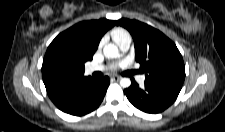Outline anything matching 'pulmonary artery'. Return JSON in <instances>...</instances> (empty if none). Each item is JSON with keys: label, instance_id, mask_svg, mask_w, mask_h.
<instances>
[{"label": "pulmonary artery", "instance_id": "pulmonary-artery-1", "mask_svg": "<svg viewBox=\"0 0 225 132\" xmlns=\"http://www.w3.org/2000/svg\"><path fill=\"white\" fill-rule=\"evenodd\" d=\"M131 40H125L119 44V47L122 51H127L130 47ZM105 67L103 65H92L87 68L88 73H93L96 71H102ZM137 81L142 84L145 81V75H137Z\"/></svg>", "mask_w": 225, "mask_h": 132}]
</instances>
